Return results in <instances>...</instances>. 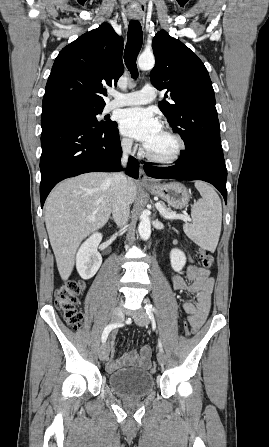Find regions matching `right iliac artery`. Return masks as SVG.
<instances>
[{
	"instance_id": "obj_1",
	"label": "right iliac artery",
	"mask_w": 269,
	"mask_h": 447,
	"mask_svg": "<svg viewBox=\"0 0 269 447\" xmlns=\"http://www.w3.org/2000/svg\"><path fill=\"white\" fill-rule=\"evenodd\" d=\"M120 326H122L121 323H111L107 325L102 333V342L104 343L107 340V337L112 329Z\"/></svg>"
}]
</instances>
